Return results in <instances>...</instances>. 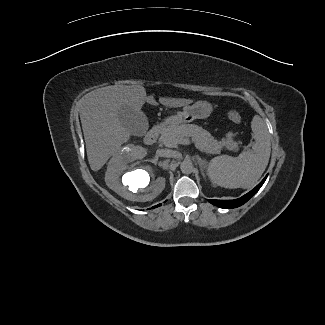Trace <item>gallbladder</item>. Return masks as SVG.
<instances>
[{"instance_id":"1","label":"gallbladder","mask_w":325,"mask_h":325,"mask_svg":"<svg viewBox=\"0 0 325 325\" xmlns=\"http://www.w3.org/2000/svg\"><path fill=\"white\" fill-rule=\"evenodd\" d=\"M118 117L122 125L133 136H144L148 130L147 117L141 110L123 106L118 111Z\"/></svg>"}]
</instances>
